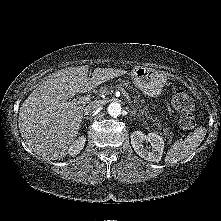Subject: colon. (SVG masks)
Wrapping results in <instances>:
<instances>
[{
    "instance_id": "colon-1",
    "label": "colon",
    "mask_w": 221,
    "mask_h": 221,
    "mask_svg": "<svg viewBox=\"0 0 221 221\" xmlns=\"http://www.w3.org/2000/svg\"><path fill=\"white\" fill-rule=\"evenodd\" d=\"M173 103L177 109L183 112L180 126L184 129H192L195 126V119L192 115V111L195 109L193 99L186 90L179 88L175 91Z\"/></svg>"
}]
</instances>
